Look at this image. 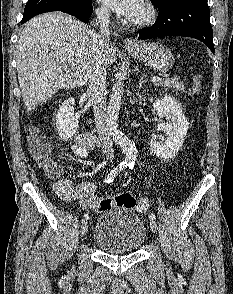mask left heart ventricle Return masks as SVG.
<instances>
[{
	"label": "left heart ventricle",
	"mask_w": 233,
	"mask_h": 294,
	"mask_svg": "<svg viewBox=\"0 0 233 294\" xmlns=\"http://www.w3.org/2000/svg\"><path fill=\"white\" fill-rule=\"evenodd\" d=\"M142 12H143V9L141 10V12L134 19H137V18L141 17Z\"/></svg>",
	"instance_id": "1"
}]
</instances>
